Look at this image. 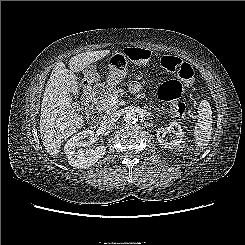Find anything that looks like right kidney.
Listing matches in <instances>:
<instances>
[{"label":"right kidney","instance_id":"1","mask_svg":"<svg viewBox=\"0 0 245 245\" xmlns=\"http://www.w3.org/2000/svg\"><path fill=\"white\" fill-rule=\"evenodd\" d=\"M93 136L94 131L83 130L67 141L64 151L71 166L78 169H86L105 155L106 147L104 145L97 146L95 149L85 148L84 139H92Z\"/></svg>","mask_w":245,"mask_h":245}]
</instances>
